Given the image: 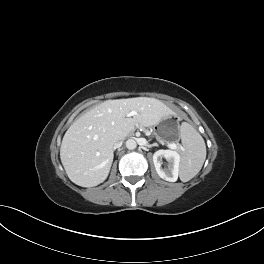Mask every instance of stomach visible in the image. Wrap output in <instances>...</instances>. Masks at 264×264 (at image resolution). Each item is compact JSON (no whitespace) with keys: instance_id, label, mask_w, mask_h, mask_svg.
Wrapping results in <instances>:
<instances>
[{"instance_id":"0dacf381","label":"stomach","mask_w":264,"mask_h":264,"mask_svg":"<svg viewBox=\"0 0 264 264\" xmlns=\"http://www.w3.org/2000/svg\"><path fill=\"white\" fill-rule=\"evenodd\" d=\"M179 122L180 119L176 115L165 118L155 129L156 138L162 140L165 144L177 141L179 138Z\"/></svg>"}]
</instances>
